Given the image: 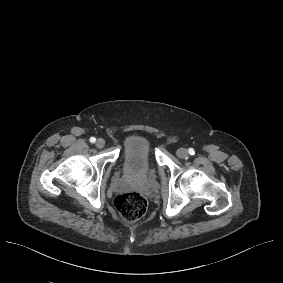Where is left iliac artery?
I'll list each match as a JSON object with an SVG mask.
<instances>
[{
    "label": "left iliac artery",
    "instance_id": "left-iliac-artery-1",
    "mask_svg": "<svg viewBox=\"0 0 283 283\" xmlns=\"http://www.w3.org/2000/svg\"><path fill=\"white\" fill-rule=\"evenodd\" d=\"M188 151H189V154H190V155H194V154H195V151H194V149H193V148H189V150H188Z\"/></svg>",
    "mask_w": 283,
    "mask_h": 283
}]
</instances>
